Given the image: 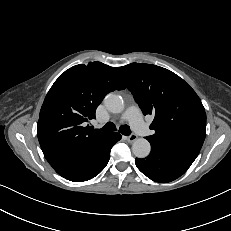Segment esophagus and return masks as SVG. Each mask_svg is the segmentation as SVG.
I'll return each instance as SVG.
<instances>
[{"label":"esophagus","mask_w":231,"mask_h":231,"mask_svg":"<svg viewBox=\"0 0 231 231\" xmlns=\"http://www.w3.org/2000/svg\"><path fill=\"white\" fill-rule=\"evenodd\" d=\"M126 139L129 142H134L137 139V135L136 134H131L130 136L126 137Z\"/></svg>","instance_id":"obj_1"}]
</instances>
